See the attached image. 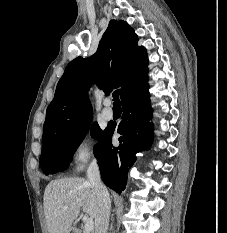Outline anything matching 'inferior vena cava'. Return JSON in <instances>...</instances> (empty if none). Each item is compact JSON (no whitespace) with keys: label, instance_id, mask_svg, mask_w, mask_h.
<instances>
[{"label":"inferior vena cava","instance_id":"602c4592","mask_svg":"<svg viewBox=\"0 0 227 233\" xmlns=\"http://www.w3.org/2000/svg\"><path fill=\"white\" fill-rule=\"evenodd\" d=\"M87 176L98 197V212L95 219V233H107L111 201L106 186L101 182L99 166L95 159L88 167Z\"/></svg>","mask_w":227,"mask_h":233}]
</instances>
